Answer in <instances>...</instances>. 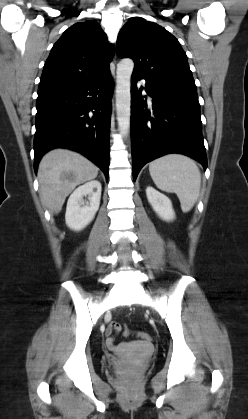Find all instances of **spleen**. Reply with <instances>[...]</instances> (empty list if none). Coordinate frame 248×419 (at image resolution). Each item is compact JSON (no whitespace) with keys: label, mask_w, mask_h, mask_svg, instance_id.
<instances>
[{"label":"spleen","mask_w":248,"mask_h":419,"mask_svg":"<svg viewBox=\"0 0 248 419\" xmlns=\"http://www.w3.org/2000/svg\"><path fill=\"white\" fill-rule=\"evenodd\" d=\"M149 172L160 190L176 193L183 212L193 208L201 187V174L194 160L181 154H168L152 161Z\"/></svg>","instance_id":"1"}]
</instances>
